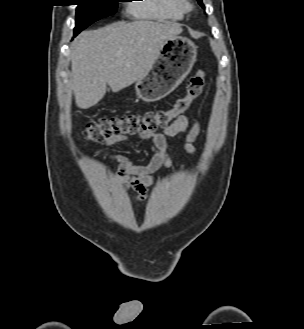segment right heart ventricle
Returning a JSON list of instances; mask_svg holds the SVG:
<instances>
[{
    "instance_id": "right-heart-ventricle-1",
    "label": "right heart ventricle",
    "mask_w": 304,
    "mask_h": 329,
    "mask_svg": "<svg viewBox=\"0 0 304 329\" xmlns=\"http://www.w3.org/2000/svg\"><path fill=\"white\" fill-rule=\"evenodd\" d=\"M140 4H131L130 11L138 18L166 21H181L184 12L181 0H137Z\"/></svg>"
}]
</instances>
